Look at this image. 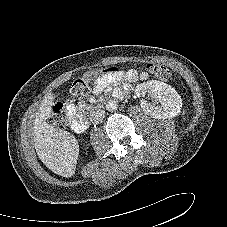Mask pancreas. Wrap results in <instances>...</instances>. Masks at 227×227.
<instances>
[{
	"instance_id": "1",
	"label": "pancreas",
	"mask_w": 227,
	"mask_h": 227,
	"mask_svg": "<svg viewBox=\"0 0 227 227\" xmlns=\"http://www.w3.org/2000/svg\"><path fill=\"white\" fill-rule=\"evenodd\" d=\"M79 110L91 111L92 107L90 105H88V104H83V105H80Z\"/></svg>"
}]
</instances>
